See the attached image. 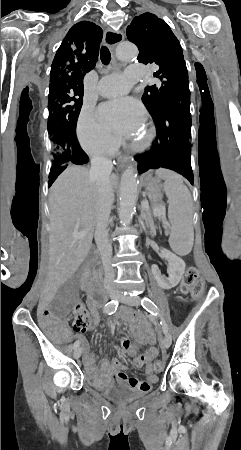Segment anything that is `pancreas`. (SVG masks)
<instances>
[{"instance_id":"cf45deb5","label":"pancreas","mask_w":241,"mask_h":450,"mask_svg":"<svg viewBox=\"0 0 241 450\" xmlns=\"http://www.w3.org/2000/svg\"><path fill=\"white\" fill-rule=\"evenodd\" d=\"M143 218H145L147 224H149V231L153 232L154 231V226H153L154 222H153L151 212H148L147 214H143Z\"/></svg>"}]
</instances>
